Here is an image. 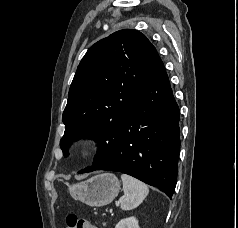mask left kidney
Here are the masks:
<instances>
[{
    "mask_svg": "<svg viewBox=\"0 0 238 228\" xmlns=\"http://www.w3.org/2000/svg\"><path fill=\"white\" fill-rule=\"evenodd\" d=\"M115 228H140L138 225V220L135 217H129L120 220Z\"/></svg>",
    "mask_w": 238,
    "mask_h": 228,
    "instance_id": "1",
    "label": "left kidney"
}]
</instances>
